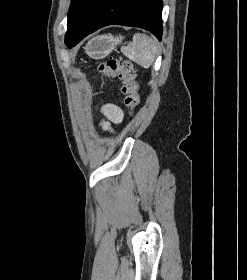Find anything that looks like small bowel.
I'll use <instances>...</instances> for the list:
<instances>
[{
  "label": "small bowel",
  "mask_w": 247,
  "mask_h": 280,
  "mask_svg": "<svg viewBox=\"0 0 247 280\" xmlns=\"http://www.w3.org/2000/svg\"><path fill=\"white\" fill-rule=\"evenodd\" d=\"M102 112L106 117L107 121L102 123V126L105 130L112 131L110 123L118 124L123 119V112L122 110L114 105V104H107L102 108Z\"/></svg>",
  "instance_id": "c3829d8e"
}]
</instances>
